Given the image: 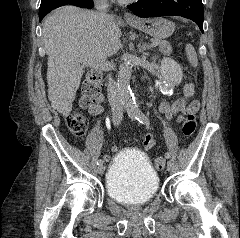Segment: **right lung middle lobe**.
Returning <instances> with one entry per match:
<instances>
[{
	"mask_svg": "<svg viewBox=\"0 0 240 238\" xmlns=\"http://www.w3.org/2000/svg\"><path fill=\"white\" fill-rule=\"evenodd\" d=\"M59 0H41V5L39 8V14L46 12L52 5H54ZM67 1V0H62Z\"/></svg>",
	"mask_w": 240,
	"mask_h": 238,
	"instance_id": "right-lung-middle-lobe-1",
	"label": "right lung middle lobe"
}]
</instances>
